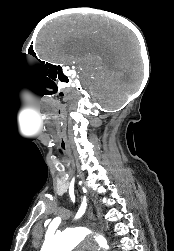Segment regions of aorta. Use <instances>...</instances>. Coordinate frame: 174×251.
Returning a JSON list of instances; mask_svg holds the SVG:
<instances>
[{"label":"aorta","instance_id":"aorta-1","mask_svg":"<svg viewBox=\"0 0 174 251\" xmlns=\"http://www.w3.org/2000/svg\"><path fill=\"white\" fill-rule=\"evenodd\" d=\"M91 232L86 228H74L65 230L53 238L46 240L41 251H72ZM97 243L105 250L109 249L106 239L98 234L94 235Z\"/></svg>","mask_w":174,"mask_h":251}]
</instances>
